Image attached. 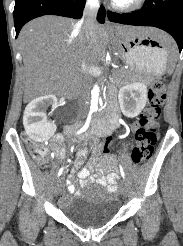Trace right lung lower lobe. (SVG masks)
Returning a JSON list of instances; mask_svg holds the SVG:
<instances>
[{"label":"right lung lower lobe","instance_id":"obj_1","mask_svg":"<svg viewBox=\"0 0 183 246\" xmlns=\"http://www.w3.org/2000/svg\"><path fill=\"white\" fill-rule=\"evenodd\" d=\"M86 0H15L14 26L16 38L28 21L43 15H59L79 19L82 17ZM105 8L100 7L97 20L105 21Z\"/></svg>","mask_w":183,"mask_h":246}]
</instances>
